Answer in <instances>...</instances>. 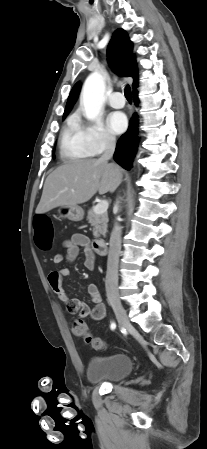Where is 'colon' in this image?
Returning <instances> with one entry per match:
<instances>
[{"label":"colon","instance_id":"colon-1","mask_svg":"<svg viewBox=\"0 0 207 449\" xmlns=\"http://www.w3.org/2000/svg\"><path fill=\"white\" fill-rule=\"evenodd\" d=\"M34 240L37 247L42 251H49L53 245V226L51 220L45 215L40 214L35 218ZM72 332L77 337H82L95 350H104L105 343L98 337L90 334L86 323L76 318L71 323Z\"/></svg>","mask_w":207,"mask_h":449}]
</instances>
